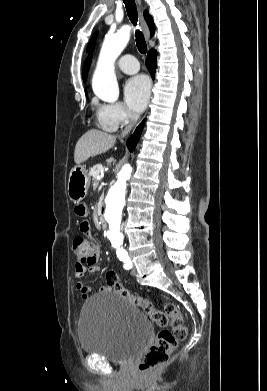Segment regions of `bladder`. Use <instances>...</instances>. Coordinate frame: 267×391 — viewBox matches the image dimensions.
Here are the masks:
<instances>
[{
  "label": "bladder",
  "instance_id": "31cf9c89",
  "mask_svg": "<svg viewBox=\"0 0 267 391\" xmlns=\"http://www.w3.org/2000/svg\"><path fill=\"white\" fill-rule=\"evenodd\" d=\"M151 325L143 312L116 292L89 299L82 307L78 337L83 352L125 363L147 344Z\"/></svg>",
  "mask_w": 267,
  "mask_h": 391
}]
</instances>
